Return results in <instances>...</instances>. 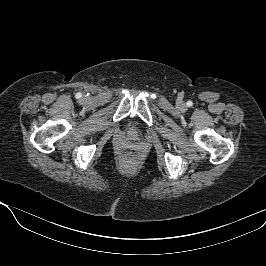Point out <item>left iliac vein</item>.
<instances>
[{"instance_id": "4c4485c4", "label": "left iliac vein", "mask_w": 266, "mask_h": 266, "mask_svg": "<svg viewBox=\"0 0 266 266\" xmlns=\"http://www.w3.org/2000/svg\"><path fill=\"white\" fill-rule=\"evenodd\" d=\"M180 106L182 107V106H183V104H182V103H180Z\"/></svg>"}]
</instances>
